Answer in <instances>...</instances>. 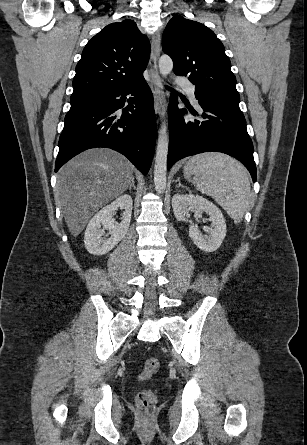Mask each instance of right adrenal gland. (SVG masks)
I'll use <instances>...</instances> for the list:
<instances>
[{
	"label": "right adrenal gland",
	"mask_w": 307,
	"mask_h": 445,
	"mask_svg": "<svg viewBox=\"0 0 307 445\" xmlns=\"http://www.w3.org/2000/svg\"><path fill=\"white\" fill-rule=\"evenodd\" d=\"M131 186H133V188L135 190L136 186H135V182H134V176H133V178H132V180H131V182H130V184L128 186L129 190H131Z\"/></svg>",
	"instance_id": "right-adrenal-gland-1"
}]
</instances>
